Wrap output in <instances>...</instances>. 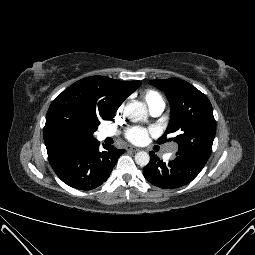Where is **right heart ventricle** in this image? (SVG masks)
Masks as SVG:
<instances>
[{
  "mask_svg": "<svg viewBox=\"0 0 255 255\" xmlns=\"http://www.w3.org/2000/svg\"><path fill=\"white\" fill-rule=\"evenodd\" d=\"M143 99L145 100L146 104L148 105L149 109L163 104L165 106L164 99L162 96L155 90L148 89L143 92L142 94Z\"/></svg>",
  "mask_w": 255,
  "mask_h": 255,
  "instance_id": "right-heart-ventricle-1",
  "label": "right heart ventricle"
}]
</instances>
